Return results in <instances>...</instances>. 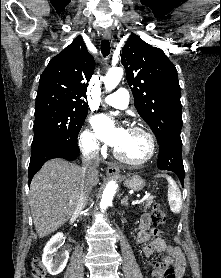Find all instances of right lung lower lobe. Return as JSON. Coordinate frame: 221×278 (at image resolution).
I'll use <instances>...</instances> for the list:
<instances>
[{"label":"right lung lower lobe","mask_w":221,"mask_h":278,"mask_svg":"<svg viewBox=\"0 0 221 278\" xmlns=\"http://www.w3.org/2000/svg\"><path fill=\"white\" fill-rule=\"evenodd\" d=\"M78 154L77 140L68 137H52L37 143L32 146L28 168L29 183L47 160L60 157L72 161L77 158Z\"/></svg>","instance_id":"obj_1"}]
</instances>
